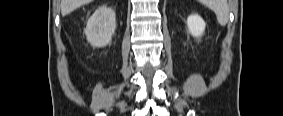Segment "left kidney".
<instances>
[{
    "label": "left kidney",
    "mask_w": 283,
    "mask_h": 116,
    "mask_svg": "<svg viewBox=\"0 0 283 116\" xmlns=\"http://www.w3.org/2000/svg\"><path fill=\"white\" fill-rule=\"evenodd\" d=\"M187 25H188L189 32L194 37H199L203 35L205 31V26H206L204 20L199 15H196V14L190 15L187 18Z\"/></svg>",
    "instance_id": "5707ae66"
}]
</instances>
